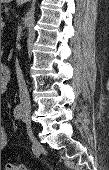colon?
<instances>
[{
    "instance_id": "5ec220e1",
    "label": "colon",
    "mask_w": 109,
    "mask_h": 170,
    "mask_svg": "<svg viewBox=\"0 0 109 170\" xmlns=\"http://www.w3.org/2000/svg\"><path fill=\"white\" fill-rule=\"evenodd\" d=\"M5 170H34V169H30L24 165L6 164Z\"/></svg>"
}]
</instances>
